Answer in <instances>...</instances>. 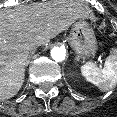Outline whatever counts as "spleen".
<instances>
[{"mask_svg":"<svg viewBox=\"0 0 117 117\" xmlns=\"http://www.w3.org/2000/svg\"><path fill=\"white\" fill-rule=\"evenodd\" d=\"M81 73L87 81L101 91L113 88L117 83V49L112 48L104 67L98 68L94 63L87 62L81 67Z\"/></svg>","mask_w":117,"mask_h":117,"instance_id":"3e777b00","label":"spleen"}]
</instances>
